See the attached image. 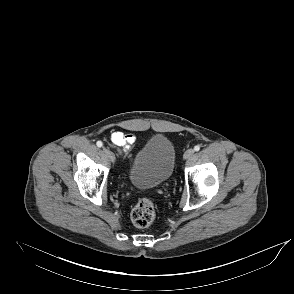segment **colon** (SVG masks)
<instances>
[{
  "instance_id": "obj_1",
  "label": "colon",
  "mask_w": 294,
  "mask_h": 294,
  "mask_svg": "<svg viewBox=\"0 0 294 294\" xmlns=\"http://www.w3.org/2000/svg\"><path fill=\"white\" fill-rule=\"evenodd\" d=\"M155 218V208L153 202L148 198L140 199L133 207L131 220L139 228L149 226Z\"/></svg>"
}]
</instances>
